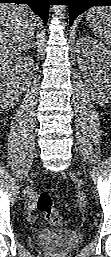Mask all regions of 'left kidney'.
I'll return each instance as SVG.
<instances>
[{
  "mask_svg": "<svg viewBox=\"0 0 111 257\" xmlns=\"http://www.w3.org/2000/svg\"><path fill=\"white\" fill-rule=\"evenodd\" d=\"M77 61L91 92L101 101L111 99V50L91 37L77 43Z\"/></svg>",
  "mask_w": 111,
  "mask_h": 257,
  "instance_id": "obj_1",
  "label": "left kidney"
}]
</instances>
